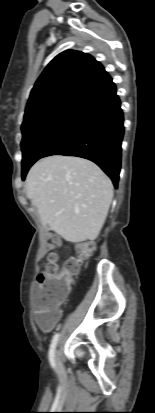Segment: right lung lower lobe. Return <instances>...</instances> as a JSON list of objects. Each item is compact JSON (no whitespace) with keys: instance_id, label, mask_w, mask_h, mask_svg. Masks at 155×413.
Segmentation results:
<instances>
[{"instance_id":"obj_1","label":"right lung lower lobe","mask_w":155,"mask_h":413,"mask_svg":"<svg viewBox=\"0 0 155 413\" xmlns=\"http://www.w3.org/2000/svg\"><path fill=\"white\" fill-rule=\"evenodd\" d=\"M120 104L116 86L111 81L78 105L62 134L43 157L65 155L89 159L102 168L117 188L124 134Z\"/></svg>"}]
</instances>
